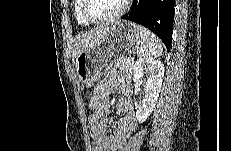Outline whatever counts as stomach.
<instances>
[{
	"instance_id": "obj_1",
	"label": "stomach",
	"mask_w": 231,
	"mask_h": 151,
	"mask_svg": "<svg viewBox=\"0 0 231 151\" xmlns=\"http://www.w3.org/2000/svg\"><path fill=\"white\" fill-rule=\"evenodd\" d=\"M140 45L141 38L136 24L129 21L114 22L97 45L77 56L75 71L81 86H93L119 58L134 54Z\"/></svg>"
}]
</instances>
